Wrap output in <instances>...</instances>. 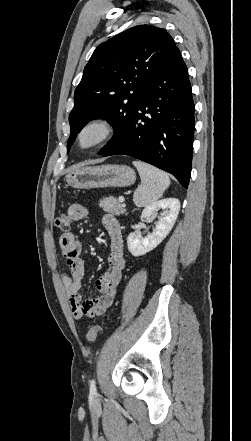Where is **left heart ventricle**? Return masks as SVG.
<instances>
[{
  "instance_id": "obj_1",
  "label": "left heart ventricle",
  "mask_w": 251,
  "mask_h": 441,
  "mask_svg": "<svg viewBox=\"0 0 251 441\" xmlns=\"http://www.w3.org/2000/svg\"><path fill=\"white\" fill-rule=\"evenodd\" d=\"M95 137H96V131L95 130H91V131L87 132L84 135L83 143L84 144H89L90 142H92L94 140Z\"/></svg>"
}]
</instances>
